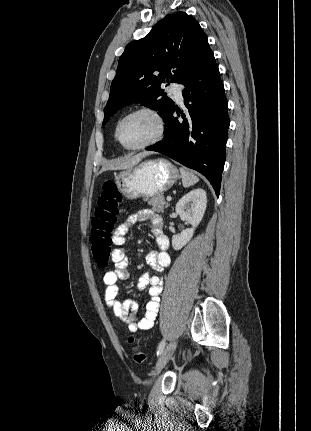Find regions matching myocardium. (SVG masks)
Here are the masks:
<instances>
[{
	"label": "myocardium",
	"mask_w": 311,
	"mask_h": 431,
	"mask_svg": "<svg viewBox=\"0 0 311 431\" xmlns=\"http://www.w3.org/2000/svg\"><path fill=\"white\" fill-rule=\"evenodd\" d=\"M136 113H148V114L152 115L158 122V132L148 142H145V143L140 144V145H135V146H127L120 140V138L118 136V126H119V123L121 122L122 119H124L125 117L130 116L132 114H136ZM113 132H114V137H115L116 141L124 149H126V150H141V149H145V148H148V147L155 145L156 143H158L163 138V136L165 135V132H166V121H165L164 116L156 108L151 107V106H140V107L133 108V109L125 112L124 114H122L116 120Z\"/></svg>",
	"instance_id": "myocardium-1"
}]
</instances>
